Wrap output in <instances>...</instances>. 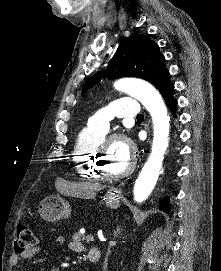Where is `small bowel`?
I'll list each match as a JSON object with an SVG mask.
<instances>
[{"instance_id": "1", "label": "small bowel", "mask_w": 221, "mask_h": 271, "mask_svg": "<svg viewBox=\"0 0 221 271\" xmlns=\"http://www.w3.org/2000/svg\"><path fill=\"white\" fill-rule=\"evenodd\" d=\"M55 244L58 247H62L66 244V239L63 236H59L55 239ZM68 247L71 251H73L75 253L86 252L85 246L77 239L70 241L68 243ZM93 250L94 249L89 251L88 258L90 257ZM38 252H39V248L37 246H32V247L25 249L20 254H13L10 258L11 265L16 266L19 263L20 257L25 258V259H29V258H32L33 256H35ZM54 271H58V270H54Z\"/></svg>"}]
</instances>
